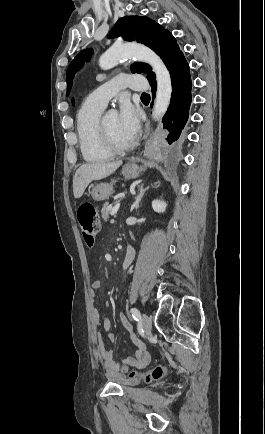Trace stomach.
<instances>
[{"label": "stomach", "mask_w": 265, "mask_h": 434, "mask_svg": "<svg viewBox=\"0 0 265 434\" xmlns=\"http://www.w3.org/2000/svg\"><path fill=\"white\" fill-rule=\"evenodd\" d=\"M141 172H143V166H137V164H126L122 168V174L125 178H138ZM114 190L111 184H97L92 188L91 196L93 200H97V202H101V200H108L109 196L113 194Z\"/></svg>", "instance_id": "1"}]
</instances>
